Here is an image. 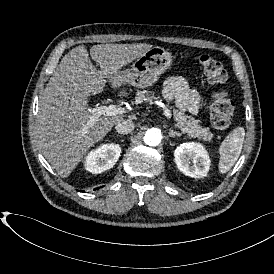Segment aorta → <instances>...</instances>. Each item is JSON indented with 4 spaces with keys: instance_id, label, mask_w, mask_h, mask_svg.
<instances>
[{
    "instance_id": "762f6f07",
    "label": "aorta",
    "mask_w": 274,
    "mask_h": 274,
    "mask_svg": "<svg viewBox=\"0 0 274 274\" xmlns=\"http://www.w3.org/2000/svg\"><path fill=\"white\" fill-rule=\"evenodd\" d=\"M162 139L161 130L158 128L149 129L144 136V142L149 146H157Z\"/></svg>"
}]
</instances>
